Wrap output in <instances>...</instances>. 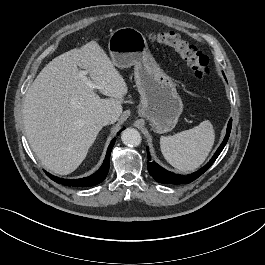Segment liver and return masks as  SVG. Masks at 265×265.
<instances>
[{"instance_id":"liver-1","label":"liver","mask_w":265,"mask_h":265,"mask_svg":"<svg viewBox=\"0 0 265 265\" xmlns=\"http://www.w3.org/2000/svg\"><path fill=\"white\" fill-rule=\"evenodd\" d=\"M86 69L100 98L79 76ZM128 92L122 75L96 41L50 61L29 87L24 99V127L31 149L45 169L59 175L75 171L86 158L107 112L116 122Z\"/></svg>"}]
</instances>
